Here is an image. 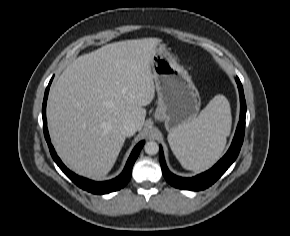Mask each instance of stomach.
Listing matches in <instances>:
<instances>
[{"mask_svg":"<svg viewBox=\"0 0 290 236\" xmlns=\"http://www.w3.org/2000/svg\"><path fill=\"white\" fill-rule=\"evenodd\" d=\"M151 67L158 94L154 117L165 122L169 133L175 132L197 117L201 105L199 92L164 44L154 47Z\"/></svg>","mask_w":290,"mask_h":236,"instance_id":"obj_1","label":"stomach"}]
</instances>
